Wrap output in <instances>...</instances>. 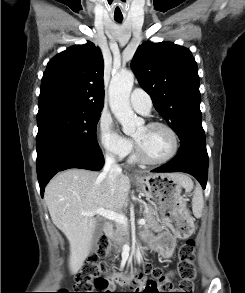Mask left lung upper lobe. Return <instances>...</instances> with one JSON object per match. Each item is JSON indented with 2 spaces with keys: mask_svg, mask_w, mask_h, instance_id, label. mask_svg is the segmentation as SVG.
<instances>
[{
  "mask_svg": "<svg viewBox=\"0 0 245 293\" xmlns=\"http://www.w3.org/2000/svg\"><path fill=\"white\" fill-rule=\"evenodd\" d=\"M132 68L181 144L206 145L197 64L190 50L170 42H147L138 47Z\"/></svg>",
  "mask_w": 245,
  "mask_h": 293,
  "instance_id": "left-lung-upper-lobe-1",
  "label": "left lung upper lobe"
}]
</instances>
